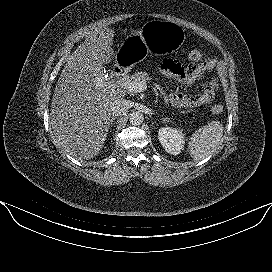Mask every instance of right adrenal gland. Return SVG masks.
<instances>
[{
  "label": "right adrenal gland",
  "instance_id": "right-adrenal-gland-1",
  "mask_svg": "<svg viewBox=\"0 0 272 272\" xmlns=\"http://www.w3.org/2000/svg\"><path fill=\"white\" fill-rule=\"evenodd\" d=\"M116 116H112L109 122V126L112 127L115 124Z\"/></svg>",
  "mask_w": 272,
  "mask_h": 272
}]
</instances>
